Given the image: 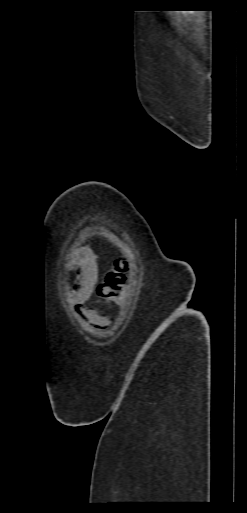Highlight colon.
<instances>
[{
	"label": "colon",
	"instance_id": "colon-1",
	"mask_svg": "<svg viewBox=\"0 0 247 513\" xmlns=\"http://www.w3.org/2000/svg\"><path fill=\"white\" fill-rule=\"evenodd\" d=\"M125 279L123 263L118 261L114 268L102 277L96 287V292L105 299L114 300L123 292Z\"/></svg>",
	"mask_w": 247,
	"mask_h": 513
}]
</instances>
